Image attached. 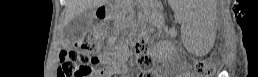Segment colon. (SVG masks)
Instances as JSON below:
<instances>
[{
  "mask_svg": "<svg viewBox=\"0 0 258 77\" xmlns=\"http://www.w3.org/2000/svg\"><path fill=\"white\" fill-rule=\"evenodd\" d=\"M107 31L104 27L97 26L90 29L74 47H68L60 53V67L58 68V77H96L100 70L96 65L101 63L98 57H92L97 53L103 43ZM134 50L137 55V65L140 70H150L154 65V59L151 53V41L140 36L134 42ZM215 65L211 59L198 61L196 72L199 76H208Z\"/></svg>",
  "mask_w": 258,
  "mask_h": 77,
  "instance_id": "1",
  "label": "colon"
}]
</instances>
